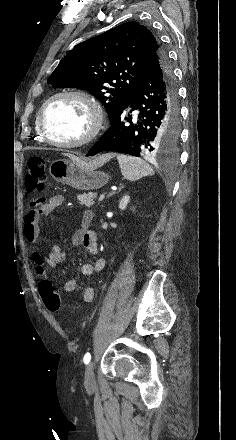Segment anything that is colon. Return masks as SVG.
Listing matches in <instances>:
<instances>
[{
	"instance_id": "5ec220e1",
	"label": "colon",
	"mask_w": 236,
	"mask_h": 440,
	"mask_svg": "<svg viewBox=\"0 0 236 440\" xmlns=\"http://www.w3.org/2000/svg\"><path fill=\"white\" fill-rule=\"evenodd\" d=\"M47 180L46 165L42 158L32 157L28 162L26 188L31 192L42 191ZM40 294L46 309L57 312L62 308L59 293L49 281L39 283Z\"/></svg>"
}]
</instances>
